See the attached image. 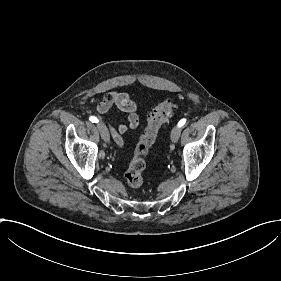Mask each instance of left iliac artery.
Returning <instances> with one entry per match:
<instances>
[{"label":"left iliac artery","instance_id":"obj_1","mask_svg":"<svg viewBox=\"0 0 281 281\" xmlns=\"http://www.w3.org/2000/svg\"><path fill=\"white\" fill-rule=\"evenodd\" d=\"M186 123V119H181L178 123V127H182Z\"/></svg>","mask_w":281,"mask_h":281}]
</instances>
